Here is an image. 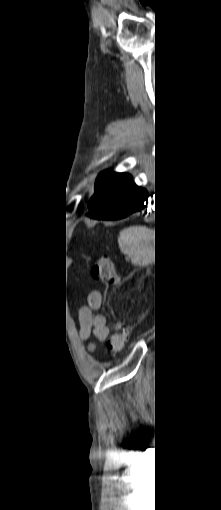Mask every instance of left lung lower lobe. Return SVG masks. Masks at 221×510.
I'll list each match as a JSON object with an SVG mask.
<instances>
[{"label":"left lung lower lobe","instance_id":"obj_1","mask_svg":"<svg viewBox=\"0 0 221 510\" xmlns=\"http://www.w3.org/2000/svg\"><path fill=\"white\" fill-rule=\"evenodd\" d=\"M147 191L131 182L113 200L105 206L89 212V216L102 220H118L135 212H139L147 205Z\"/></svg>","mask_w":221,"mask_h":510}]
</instances>
